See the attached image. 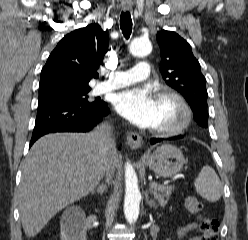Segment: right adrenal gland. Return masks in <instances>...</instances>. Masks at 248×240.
I'll use <instances>...</instances> for the list:
<instances>
[{"label": "right adrenal gland", "instance_id": "2a0ac1e0", "mask_svg": "<svg viewBox=\"0 0 248 240\" xmlns=\"http://www.w3.org/2000/svg\"><path fill=\"white\" fill-rule=\"evenodd\" d=\"M105 191H106V184L102 183L98 186L97 189L92 191V194L98 193L102 196Z\"/></svg>", "mask_w": 248, "mask_h": 240}]
</instances>
